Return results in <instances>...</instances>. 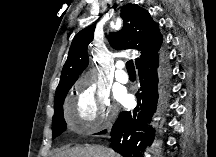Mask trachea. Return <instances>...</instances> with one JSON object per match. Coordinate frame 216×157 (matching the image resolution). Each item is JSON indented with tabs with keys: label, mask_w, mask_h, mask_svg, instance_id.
Returning <instances> with one entry per match:
<instances>
[{
	"label": "trachea",
	"mask_w": 216,
	"mask_h": 157,
	"mask_svg": "<svg viewBox=\"0 0 216 157\" xmlns=\"http://www.w3.org/2000/svg\"><path fill=\"white\" fill-rule=\"evenodd\" d=\"M126 69H127L129 74H135L136 73L133 60L127 61Z\"/></svg>",
	"instance_id": "obj_1"
}]
</instances>
